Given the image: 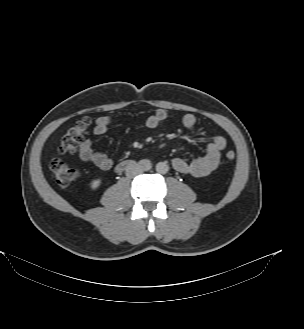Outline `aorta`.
Wrapping results in <instances>:
<instances>
[{"mask_svg": "<svg viewBox=\"0 0 304 329\" xmlns=\"http://www.w3.org/2000/svg\"><path fill=\"white\" fill-rule=\"evenodd\" d=\"M169 170V167L166 162H159L156 164V171L160 174H166Z\"/></svg>", "mask_w": 304, "mask_h": 329, "instance_id": "aorta-1", "label": "aorta"}]
</instances>
